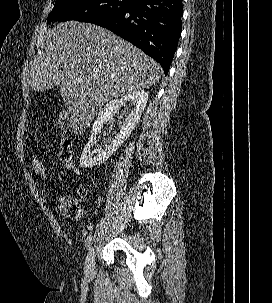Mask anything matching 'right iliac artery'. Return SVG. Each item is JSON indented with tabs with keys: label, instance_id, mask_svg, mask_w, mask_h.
Instances as JSON below:
<instances>
[{
	"label": "right iliac artery",
	"instance_id": "obj_1",
	"mask_svg": "<svg viewBox=\"0 0 272 303\" xmlns=\"http://www.w3.org/2000/svg\"><path fill=\"white\" fill-rule=\"evenodd\" d=\"M91 241H92V236H88L87 239L85 240V247L86 249H88L91 245Z\"/></svg>",
	"mask_w": 272,
	"mask_h": 303
}]
</instances>
